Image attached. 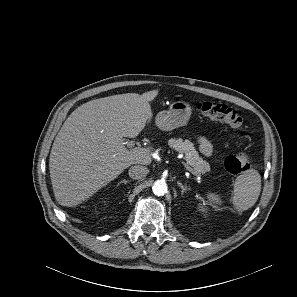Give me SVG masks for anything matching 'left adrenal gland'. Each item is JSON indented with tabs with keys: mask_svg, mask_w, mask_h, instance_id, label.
Segmentation results:
<instances>
[{
	"mask_svg": "<svg viewBox=\"0 0 297 297\" xmlns=\"http://www.w3.org/2000/svg\"><path fill=\"white\" fill-rule=\"evenodd\" d=\"M177 184L181 188V194L183 195L188 190V187L184 186L180 181H177Z\"/></svg>",
	"mask_w": 297,
	"mask_h": 297,
	"instance_id": "1",
	"label": "left adrenal gland"
}]
</instances>
